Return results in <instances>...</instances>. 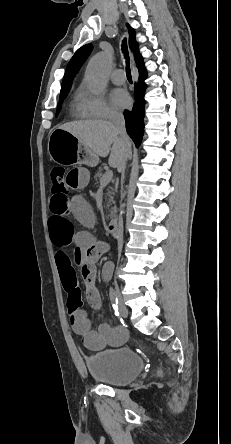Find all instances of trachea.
Instances as JSON below:
<instances>
[{"instance_id":"3493384b","label":"trachea","mask_w":231,"mask_h":444,"mask_svg":"<svg viewBox=\"0 0 231 444\" xmlns=\"http://www.w3.org/2000/svg\"><path fill=\"white\" fill-rule=\"evenodd\" d=\"M122 52L124 54V57L126 59V75H127V79L132 81V76H131V69H130V59H129V54H128V48H127V41L126 39H124L122 41Z\"/></svg>"}]
</instances>
